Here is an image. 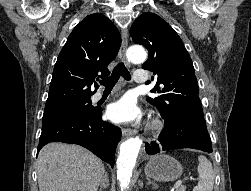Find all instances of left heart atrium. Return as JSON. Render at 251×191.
Returning a JSON list of instances; mask_svg holds the SVG:
<instances>
[{"mask_svg":"<svg viewBox=\"0 0 251 191\" xmlns=\"http://www.w3.org/2000/svg\"><path fill=\"white\" fill-rule=\"evenodd\" d=\"M109 118L118 124H127L138 120L140 108L131 97H123L108 107Z\"/></svg>","mask_w":251,"mask_h":191,"instance_id":"left-heart-atrium-1","label":"left heart atrium"}]
</instances>
